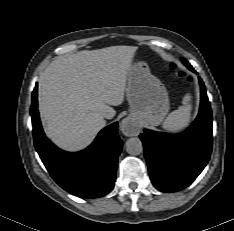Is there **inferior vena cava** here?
<instances>
[{
  "instance_id": "inferior-vena-cava-1",
  "label": "inferior vena cava",
  "mask_w": 234,
  "mask_h": 231,
  "mask_svg": "<svg viewBox=\"0 0 234 231\" xmlns=\"http://www.w3.org/2000/svg\"><path fill=\"white\" fill-rule=\"evenodd\" d=\"M105 117H106L107 119H111L113 116H112L111 114H109V113H106V114H105Z\"/></svg>"
}]
</instances>
